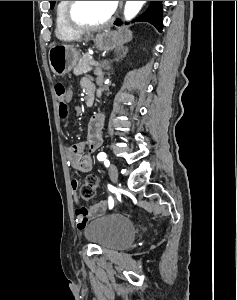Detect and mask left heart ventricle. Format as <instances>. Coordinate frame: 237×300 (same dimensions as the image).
Masks as SVG:
<instances>
[{"label":"left heart ventricle","mask_w":237,"mask_h":300,"mask_svg":"<svg viewBox=\"0 0 237 300\" xmlns=\"http://www.w3.org/2000/svg\"><path fill=\"white\" fill-rule=\"evenodd\" d=\"M113 11L109 1H79L75 17L80 23L98 25L109 19Z\"/></svg>","instance_id":"b2bd125f"}]
</instances>
